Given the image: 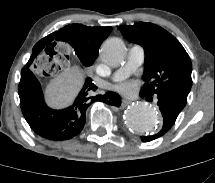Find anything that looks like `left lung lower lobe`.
Segmentation results:
<instances>
[{
    "label": "left lung lower lobe",
    "mask_w": 215,
    "mask_h": 183,
    "mask_svg": "<svg viewBox=\"0 0 215 183\" xmlns=\"http://www.w3.org/2000/svg\"><path fill=\"white\" fill-rule=\"evenodd\" d=\"M141 96H145L142 92H140ZM157 97V105L163 116V127L162 130L153 136H142L141 140L143 142H148L154 140L162 135H164L175 123L177 116L182 111L184 106L180 104L176 99L167 96V95H156ZM146 99H152V96L146 95Z\"/></svg>",
    "instance_id": "left-lung-lower-lobe-1"
}]
</instances>
